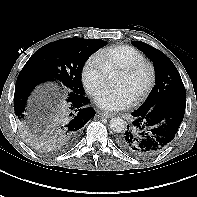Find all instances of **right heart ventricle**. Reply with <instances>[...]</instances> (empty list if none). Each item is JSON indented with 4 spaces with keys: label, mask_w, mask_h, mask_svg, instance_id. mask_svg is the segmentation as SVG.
Listing matches in <instances>:
<instances>
[{
    "label": "right heart ventricle",
    "mask_w": 197,
    "mask_h": 197,
    "mask_svg": "<svg viewBox=\"0 0 197 197\" xmlns=\"http://www.w3.org/2000/svg\"><path fill=\"white\" fill-rule=\"evenodd\" d=\"M97 57L100 59L109 75L118 73L136 62L145 60L144 55L129 45H116L101 50Z\"/></svg>",
    "instance_id": "right-heart-ventricle-1"
}]
</instances>
